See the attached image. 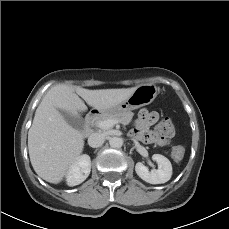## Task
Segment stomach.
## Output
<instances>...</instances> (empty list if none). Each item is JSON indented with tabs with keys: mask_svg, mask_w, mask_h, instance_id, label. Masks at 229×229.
Segmentation results:
<instances>
[{
	"mask_svg": "<svg viewBox=\"0 0 229 229\" xmlns=\"http://www.w3.org/2000/svg\"><path fill=\"white\" fill-rule=\"evenodd\" d=\"M159 90V87L153 83L140 85L125 101L116 106L101 110L100 113L102 115H110L138 109L153 102Z\"/></svg>",
	"mask_w": 229,
	"mask_h": 229,
	"instance_id": "stomach-1",
	"label": "stomach"
}]
</instances>
